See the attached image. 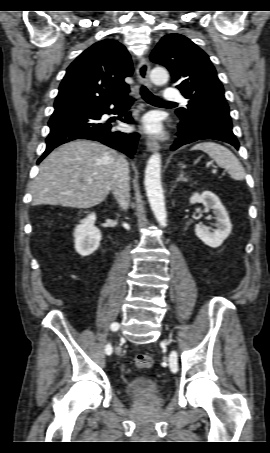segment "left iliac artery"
I'll return each mask as SVG.
<instances>
[{
    "label": "left iliac artery",
    "instance_id": "obj_1",
    "mask_svg": "<svg viewBox=\"0 0 270 453\" xmlns=\"http://www.w3.org/2000/svg\"><path fill=\"white\" fill-rule=\"evenodd\" d=\"M170 368L172 372H177L178 365H177V354L176 352H172L170 355Z\"/></svg>",
    "mask_w": 270,
    "mask_h": 453
}]
</instances>
